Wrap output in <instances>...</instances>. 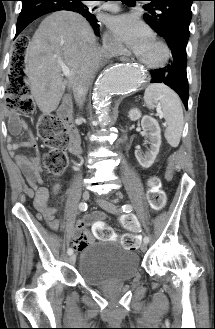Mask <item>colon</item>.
Returning <instances> with one entry per match:
<instances>
[{
	"label": "colon",
	"mask_w": 215,
	"mask_h": 329,
	"mask_svg": "<svg viewBox=\"0 0 215 329\" xmlns=\"http://www.w3.org/2000/svg\"><path fill=\"white\" fill-rule=\"evenodd\" d=\"M28 44H35V37H14L12 66L8 78L7 108L22 113H30L33 110L30 88L24 71V55ZM38 133L49 148V152L43 157L45 168L54 176L61 175L68 165L66 147L69 141L62 121L55 115L45 114L38 123ZM148 200L155 210L162 209L165 203L160 180L155 176L148 181ZM123 225L129 231L122 237L123 246L136 249L140 237L135 231H140L141 225L137 224L134 217H127Z\"/></svg>",
	"instance_id": "5ec220e1"
}]
</instances>
